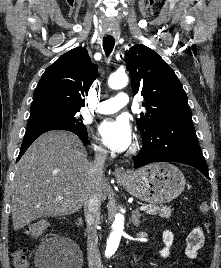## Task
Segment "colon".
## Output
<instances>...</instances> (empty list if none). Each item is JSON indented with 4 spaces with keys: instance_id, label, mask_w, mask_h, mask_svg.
Masks as SVG:
<instances>
[{
    "instance_id": "1",
    "label": "colon",
    "mask_w": 221,
    "mask_h": 268,
    "mask_svg": "<svg viewBox=\"0 0 221 268\" xmlns=\"http://www.w3.org/2000/svg\"><path fill=\"white\" fill-rule=\"evenodd\" d=\"M200 210L202 213L206 214L210 211V206L207 202H202L200 204ZM204 226L207 230H209L210 224L208 221L204 222ZM48 227V222L46 220H39L32 224H30L27 229L26 233L29 236L35 237L45 231ZM25 249H19L14 254V263L16 268H30L29 263L26 259Z\"/></svg>"
}]
</instances>
